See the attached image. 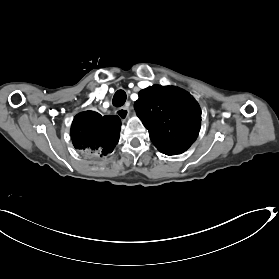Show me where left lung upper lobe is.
Segmentation results:
<instances>
[{
  "label": "left lung upper lobe",
  "instance_id": "left-lung-upper-lobe-1",
  "mask_svg": "<svg viewBox=\"0 0 279 279\" xmlns=\"http://www.w3.org/2000/svg\"><path fill=\"white\" fill-rule=\"evenodd\" d=\"M134 109L148 129L153 144L166 155L183 153L198 136L199 105L181 89L160 85L143 89Z\"/></svg>",
  "mask_w": 279,
  "mask_h": 279
}]
</instances>
